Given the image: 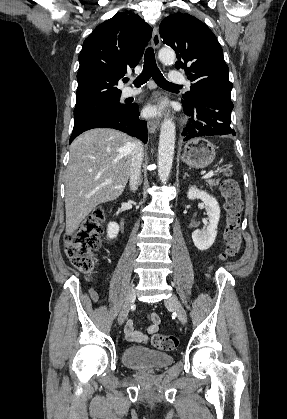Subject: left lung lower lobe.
I'll list each match as a JSON object with an SVG mask.
<instances>
[{
  "mask_svg": "<svg viewBox=\"0 0 287 419\" xmlns=\"http://www.w3.org/2000/svg\"><path fill=\"white\" fill-rule=\"evenodd\" d=\"M185 113L190 116L183 129L184 141L206 136L235 135L230 127L233 103L223 95H204L192 105L183 104Z\"/></svg>",
  "mask_w": 287,
  "mask_h": 419,
  "instance_id": "obj_1",
  "label": "left lung lower lobe"
}]
</instances>
